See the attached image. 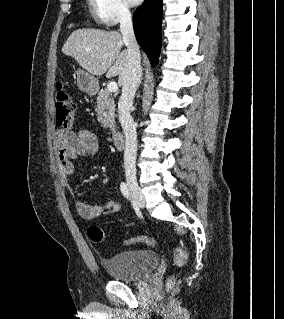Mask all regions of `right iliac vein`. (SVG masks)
<instances>
[{
	"label": "right iliac vein",
	"mask_w": 284,
	"mask_h": 319,
	"mask_svg": "<svg viewBox=\"0 0 284 319\" xmlns=\"http://www.w3.org/2000/svg\"><path fill=\"white\" fill-rule=\"evenodd\" d=\"M126 179H127V185L129 187V190L132 194L133 199L140 207H144L145 198L137 183L135 175L132 172H127Z\"/></svg>",
	"instance_id": "right-iliac-vein-1"
}]
</instances>
